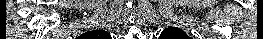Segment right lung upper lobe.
<instances>
[{
    "label": "right lung upper lobe",
    "instance_id": "right-lung-upper-lobe-1",
    "mask_svg": "<svg viewBox=\"0 0 263 39\" xmlns=\"http://www.w3.org/2000/svg\"><path fill=\"white\" fill-rule=\"evenodd\" d=\"M109 34L103 30H92L84 33L82 39H107Z\"/></svg>",
    "mask_w": 263,
    "mask_h": 39
}]
</instances>
